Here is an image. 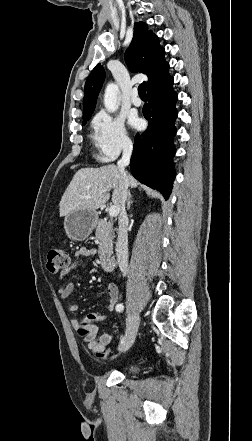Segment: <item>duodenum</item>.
<instances>
[{
  "mask_svg": "<svg viewBox=\"0 0 252 441\" xmlns=\"http://www.w3.org/2000/svg\"><path fill=\"white\" fill-rule=\"evenodd\" d=\"M101 267L105 272H111L114 269V261L109 256L104 254L101 258Z\"/></svg>",
  "mask_w": 252,
  "mask_h": 441,
  "instance_id": "duodenum-1",
  "label": "duodenum"
}]
</instances>
